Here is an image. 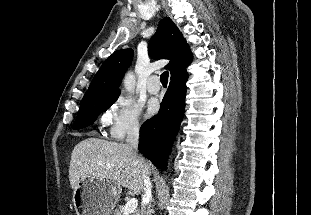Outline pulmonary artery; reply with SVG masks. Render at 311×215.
Here are the masks:
<instances>
[{
  "mask_svg": "<svg viewBox=\"0 0 311 215\" xmlns=\"http://www.w3.org/2000/svg\"><path fill=\"white\" fill-rule=\"evenodd\" d=\"M147 90L150 94L159 93L160 83H159V78L156 75H153L150 77L148 84H147Z\"/></svg>",
  "mask_w": 311,
  "mask_h": 215,
  "instance_id": "obj_1",
  "label": "pulmonary artery"
}]
</instances>
